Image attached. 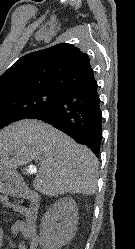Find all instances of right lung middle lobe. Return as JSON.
<instances>
[{
	"mask_svg": "<svg viewBox=\"0 0 135 249\" xmlns=\"http://www.w3.org/2000/svg\"><path fill=\"white\" fill-rule=\"evenodd\" d=\"M61 94L55 91H33L0 96V129L12 122L29 117L35 111L55 101Z\"/></svg>",
	"mask_w": 135,
	"mask_h": 249,
	"instance_id": "1",
	"label": "right lung middle lobe"
}]
</instances>
